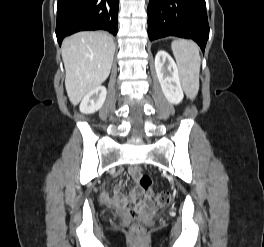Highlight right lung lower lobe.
I'll return each instance as SVG.
<instances>
[{
	"label": "right lung lower lobe",
	"mask_w": 264,
	"mask_h": 247,
	"mask_svg": "<svg viewBox=\"0 0 264 247\" xmlns=\"http://www.w3.org/2000/svg\"><path fill=\"white\" fill-rule=\"evenodd\" d=\"M119 0H58L56 36L64 37L84 30L118 32Z\"/></svg>",
	"instance_id": "obj_1"
}]
</instances>
